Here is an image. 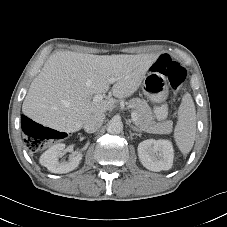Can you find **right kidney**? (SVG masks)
<instances>
[{
    "instance_id": "right-kidney-1",
    "label": "right kidney",
    "mask_w": 227,
    "mask_h": 227,
    "mask_svg": "<svg viewBox=\"0 0 227 227\" xmlns=\"http://www.w3.org/2000/svg\"><path fill=\"white\" fill-rule=\"evenodd\" d=\"M65 147V144L59 143L49 148L40 157L41 165L45 166L50 172L58 174L68 173L76 169L83 155L81 152L76 151L68 161H59V158L62 157Z\"/></svg>"
}]
</instances>
